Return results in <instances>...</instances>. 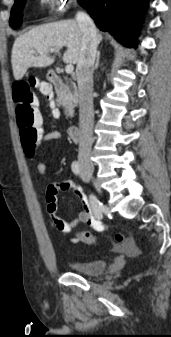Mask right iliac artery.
I'll return each mask as SVG.
<instances>
[{
  "instance_id": "obj_1",
  "label": "right iliac artery",
  "mask_w": 171,
  "mask_h": 337,
  "mask_svg": "<svg viewBox=\"0 0 171 337\" xmlns=\"http://www.w3.org/2000/svg\"><path fill=\"white\" fill-rule=\"evenodd\" d=\"M71 168L76 175L80 174L81 167L78 161H74L71 165ZM89 200L97 218L102 219L103 217L101 210L102 203H100V201L94 195H90Z\"/></svg>"
}]
</instances>
